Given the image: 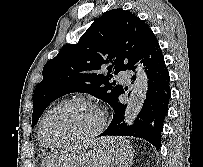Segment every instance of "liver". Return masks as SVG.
Segmentation results:
<instances>
[{"label": "liver", "mask_w": 203, "mask_h": 167, "mask_svg": "<svg viewBox=\"0 0 203 167\" xmlns=\"http://www.w3.org/2000/svg\"><path fill=\"white\" fill-rule=\"evenodd\" d=\"M102 143L113 142L115 148L119 149L122 145L127 144L124 139L104 138ZM84 154L82 152L64 151L57 154H51L43 160L41 167H75L82 161Z\"/></svg>", "instance_id": "obj_1"}]
</instances>
